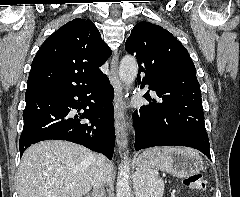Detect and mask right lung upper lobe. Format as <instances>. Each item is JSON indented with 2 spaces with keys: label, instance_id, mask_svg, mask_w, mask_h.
Here are the masks:
<instances>
[{
  "label": "right lung upper lobe",
  "instance_id": "obj_1",
  "mask_svg": "<svg viewBox=\"0 0 240 197\" xmlns=\"http://www.w3.org/2000/svg\"><path fill=\"white\" fill-rule=\"evenodd\" d=\"M111 50L86 19L69 21L41 45L33 59L26 96L54 87H82L105 77L100 71Z\"/></svg>",
  "mask_w": 240,
  "mask_h": 197
}]
</instances>
